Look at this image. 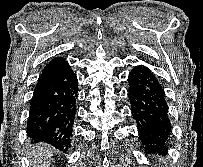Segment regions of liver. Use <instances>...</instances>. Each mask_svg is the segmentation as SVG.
Segmentation results:
<instances>
[{"instance_id":"6515ba94","label":"liver","mask_w":203,"mask_h":167,"mask_svg":"<svg viewBox=\"0 0 203 167\" xmlns=\"http://www.w3.org/2000/svg\"><path fill=\"white\" fill-rule=\"evenodd\" d=\"M31 167H49L52 158V149L46 143H39L31 150Z\"/></svg>"}]
</instances>
